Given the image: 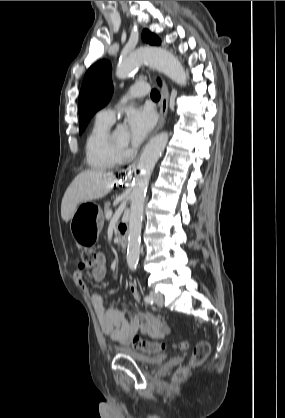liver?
I'll use <instances>...</instances> for the list:
<instances>
[{
  "label": "liver",
  "mask_w": 285,
  "mask_h": 418,
  "mask_svg": "<svg viewBox=\"0 0 285 418\" xmlns=\"http://www.w3.org/2000/svg\"><path fill=\"white\" fill-rule=\"evenodd\" d=\"M116 178L113 173L88 169L78 174L67 188L61 203V217L68 222L80 203L100 199L112 189Z\"/></svg>",
  "instance_id": "liver-1"
}]
</instances>
